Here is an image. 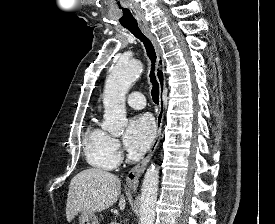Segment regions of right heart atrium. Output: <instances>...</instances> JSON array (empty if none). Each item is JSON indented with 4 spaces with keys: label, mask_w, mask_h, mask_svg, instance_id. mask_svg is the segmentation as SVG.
<instances>
[{
    "label": "right heart atrium",
    "mask_w": 275,
    "mask_h": 224,
    "mask_svg": "<svg viewBox=\"0 0 275 224\" xmlns=\"http://www.w3.org/2000/svg\"><path fill=\"white\" fill-rule=\"evenodd\" d=\"M112 145L116 152L120 151V143L116 138H112Z\"/></svg>",
    "instance_id": "d8ad5b80"
}]
</instances>
